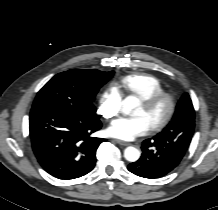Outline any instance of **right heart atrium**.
Instances as JSON below:
<instances>
[{
  "instance_id": "d8ad5b80",
  "label": "right heart atrium",
  "mask_w": 218,
  "mask_h": 210,
  "mask_svg": "<svg viewBox=\"0 0 218 210\" xmlns=\"http://www.w3.org/2000/svg\"><path fill=\"white\" fill-rule=\"evenodd\" d=\"M121 96L114 88L103 92L99 100L98 113L106 119L115 117L120 110Z\"/></svg>"
}]
</instances>
